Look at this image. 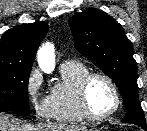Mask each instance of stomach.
Returning <instances> with one entry per match:
<instances>
[{
  "mask_svg": "<svg viewBox=\"0 0 147 131\" xmlns=\"http://www.w3.org/2000/svg\"><path fill=\"white\" fill-rule=\"evenodd\" d=\"M85 131H98V130H96V129H94V130H93V129L88 130V129H87V130H85Z\"/></svg>",
  "mask_w": 147,
  "mask_h": 131,
  "instance_id": "stomach-1",
  "label": "stomach"
}]
</instances>
